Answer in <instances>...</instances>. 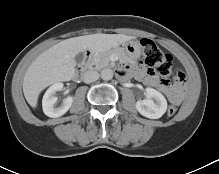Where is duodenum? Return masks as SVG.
<instances>
[{
  "label": "duodenum",
  "instance_id": "410a0bca",
  "mask_svg": "<svg viewBox=\"0 0 219 174\" xmlns=\"http://www.w3.org/2000/svg\"><path fill=\"white\" fill-rule=\"evenodd\" d=\"M91 57H92V53H91L90 51H88V52L86 53V55H85V59H84V62H83V64H82V66L79 67L78 70H77L78 73H81V72H83V71L86 70L87 65H88V63H89Z\"/></svg>",
  "mask_w": 219,
  "mask_h": 174
}]
</instances>
